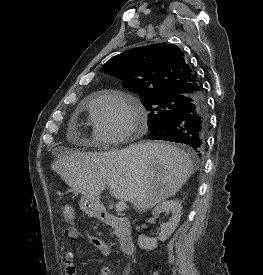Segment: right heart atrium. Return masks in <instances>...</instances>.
Wrapping results in <instances>:
<instances>
[{
	"mask_svg": "<svg viewBox=\"0 0 263 275\" xmlns=\"http://www.w3.org/2000/svg\"><path fill=\"white\" fill-rule=\"evenodd\" d=\"M95 138L103 144H116L137 134L143 124L139 108L129 96L105 91L92 101Z\"/></svg>",
	"mask_w": 263,
	"mask_h": 275,
	"instance_id": "1",
	"label": "right heart atrium"
}]
</instances>
